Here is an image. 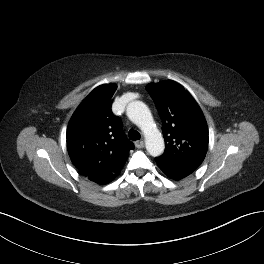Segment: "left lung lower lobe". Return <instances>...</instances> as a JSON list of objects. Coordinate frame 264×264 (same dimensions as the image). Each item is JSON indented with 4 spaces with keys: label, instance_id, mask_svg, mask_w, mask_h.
Instances as JSON below:
<instances>
[{
    "label": "left lung lower lobe",
    "instance_id": "left-lung-lower-lobe-1",
    "mask_svg": "<svg viewBox=\"0 0 264 264\" xmlns=\"http://www.w3.org/2000/svg\"><path fill=\"white\" fill-rule=\"evenodd\" d=\"M157 164L159 165L160 169L171 179L174 180H180L188 175H190L193 171L185 168H177L172 167L167 164L161 163L157 161Z\"/></svg>",
    "mask_w": 264,
    "mask_h": 264
}]
</instances>
